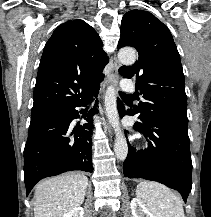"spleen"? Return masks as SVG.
I'll return each instance as SVG.
<instances>
[{
	"instance_id": "3e777b00",
	"label": "spleen",
	"mask_w": 211,
	"mask_h": 217,
	"mask_svg": "<svg viewBox=\"0 0 211 217\" xmlns=\"http://www.w3.org/2000/svg\"><path fill=\"white\" fill-rule=\"evenodd\" d=\"M136 195L153 217H185L179 197L161 183L142 181Z\"/></svg>"
}]
</instances>
